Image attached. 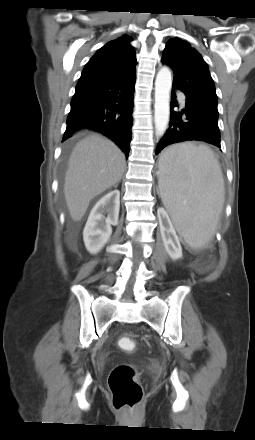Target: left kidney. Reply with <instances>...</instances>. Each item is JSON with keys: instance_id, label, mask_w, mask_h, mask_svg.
Returning a JSON list of instances; mask_svg holds the SVG:
<instances>
[{"instance_id": "obj_1", "label": "left kidney", "mask_w": 255, "mask_h": 440, "mask_svg": "<svg viewBox=\"0 0 255 440\" xmlns=\"http://www.w3.org/2000/svg\"><path fill=\"white\" fill-rule=\"evenodd\" d=\"M158 216L161 220V235L164 247L172 260L182 258V248L176 231L168 217V214L163 208L158 209Z\"/></svg>"}]
</instances>
